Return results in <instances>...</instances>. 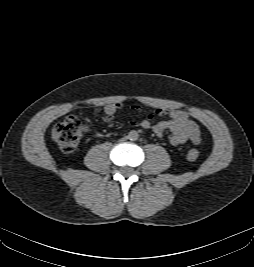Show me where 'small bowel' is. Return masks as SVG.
Here are the masks:
<instances>
[{
	"label": "small bowel",
	"mask_w": 254,
	"mask_h": 267,
	"mask_svg": "<svg viewBox=\"0 0 254 267\" xmlns=\"http://www.w3.org/2000/svg\"><path fill=\"white\" fill-rule=\"evenodd\" d=\"M122 108L121 103H107L96 105L94 111L103 113L104 119L110 121L112 116ZM132 110L140 112L142 108L139 105H133ZM168 111L165 108H157L154 113H149L142 121H132V125L141 126L144 129H151L158 137L169 132V141L172 145L178 146L187 141L198 144L201 140L200 128L197 122L183 110H172L168 120L153 123L155 115H165Z\"/></svg>",
	"instance_id": "small-bowel-1"
}]
</instances>
